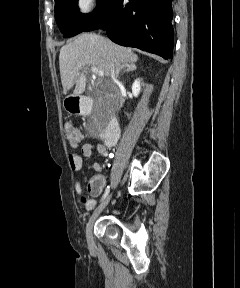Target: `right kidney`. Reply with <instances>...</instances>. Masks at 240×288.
Here are the masks:
<instances>
[{"mask_svg": "<svg viewBox=\"0 0 240 288\" xmlns=\"http://www.w3.org/2000/svg\"><path fill=\"white\" fill-rule=\"evenodd\" d=\"M140 80L136 79L132 85V93L135 97L138 96L139 92H140Z\"/></svg>", "mask_w": 240, "mask_h": 288, "instance_id": "right-kidney-1", "label": "right kidney"}]
</instances>
